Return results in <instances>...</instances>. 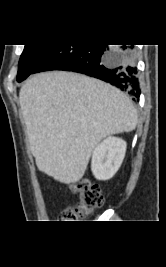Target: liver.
<instances>
[{"label":"liver","instance_id":"obj_1","mask_svg":"<svg viewBox=\"0 0 166 267\" xmlns=\"http://www.w3.org/2000/svg\"><path fill=\"white\" fill-rule=\"evenodd\" d=\"M19 101L38 169L64 184L83 177L103 138L131 132L138 121L120 90L72 72L34 75L21 87Z\"/></svg>","mask_w":166,"mask_h":267}]
</instances>
